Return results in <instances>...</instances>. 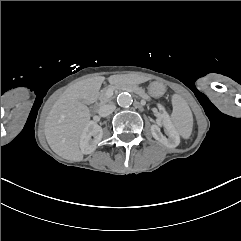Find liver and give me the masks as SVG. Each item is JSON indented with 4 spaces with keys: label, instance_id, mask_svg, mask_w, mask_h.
<instances>
[{
    "label": "liver",
    "instance_id": "6515ba94",
    "mask_svg": "<svg viewBox=\"0 0 241 241\" xmlns=\"http://www.w3.org/2000/svg\"><path fill=\"white\" fill-rule=\"evenodd\" d=\"M117 75L107 78L116 84ZM104 76H95L72 84L54 103L45 122V136L51 149L60 157L80 162L84 154L79 141L90 123L91 113L86 103L98 98Z\"/></svg>",
    "mask_w": 241,
    "mask_h": 241
}]
</instances>
